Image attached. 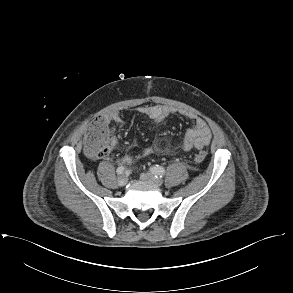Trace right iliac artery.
I'll list each match as a JSON object with an SVG mask.
<instances>
[{"label": "right iliac artery", "instance_id": "82829eb1", "mask_svg": "<svg viewBox=\"0 0 293 293\" xmlns=\"http://www.w3.org/2000/svg\"><path fill=\"white\" fill-rule=\"evenodd\" d=\"M125 171H126V168L124 166H120L116 170L117 174H123Z\"/></svg>", "mask_w": 293, "mask_h": 293}]
</instances>
